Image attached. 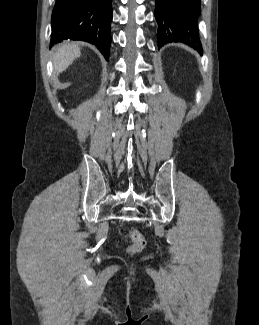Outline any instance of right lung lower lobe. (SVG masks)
I'll return each mask as SVG.
<instances>
[{
  "label": "right lung lower lobe",
  "mask_w": 259,
  "mask_h": 325,
  "mask_svg": "<svg viewBox=\"0 0 259 325\" xmlns=\"http://www.w3.org/2000/svg\"><path fill=\"white\" fill-rule=\"evenodd\" d=\"M111 0H56L52 13L51 46L65 39L97 46L109 59Z\"/></svg>",
  "instance_id": "1"
}]
</instances>
